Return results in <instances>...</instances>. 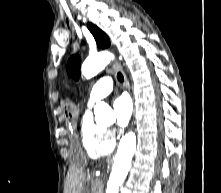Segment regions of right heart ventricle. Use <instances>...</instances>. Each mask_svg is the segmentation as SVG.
Segmentation results:
<instances>
[{
  "instance_id": "1",
  "label": "right heart ventricle",
  "mask_w": 221,
  "mask_h": 193,
  "mask_svg": "<svg viewBox=\"0 0 221 193\" xmlns=\"http://www.w3.org/2000/svg\"><path fill=\"white\" fill-rule=\"evenodd\" d=\"M80 136L83 149L90 158L96 159L108 155L114 149V141L106 127L94 122L89 111L82 116Z\"/></svg>"
}]
</instances>
